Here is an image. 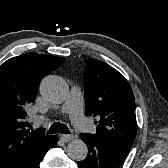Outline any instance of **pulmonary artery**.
<instances>
[{"label": "pulmonary artery", "instance_id": "1", "mask_svg": "<svg viewBox=\"0 0 168 168\" xmlns=\"http://www.w3.org/2000/svg\"><path fill=\"white\" fill-rule=\"evenodd\" d=\"M83 95L78 88H73L69 93L62 112L68 114L74 126L79 130H86L88 123L83 115Z\"/></svg>", "mask_w": 168, "mask_h": 168}]
</instances>
